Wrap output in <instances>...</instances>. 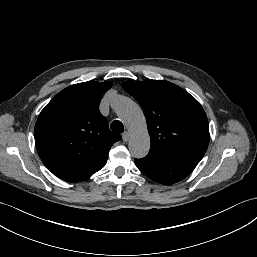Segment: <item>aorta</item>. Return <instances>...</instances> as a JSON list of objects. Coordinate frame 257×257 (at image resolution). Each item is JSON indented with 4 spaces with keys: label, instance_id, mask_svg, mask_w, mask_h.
I'll return each mask as SVG.
<instances>
[{
    "label": "aorta",
    "instance_id": "762f6f07",
    "mask_svg": "<svg viewBox=\"0 0 257 257\" xmlns=\"http://www.w3.org/2000/svg\"><path fill=\"white\" fill-rule=\"evenodd\" d=\"M113 106L117 115L125 122L131 132L129 140L131 155L135 158L145 157L150 149V137L141 108L127 97H118Z\"/></svg>",
    "mask_w": 257,
    "mask_h": 257
}]
</instances>
